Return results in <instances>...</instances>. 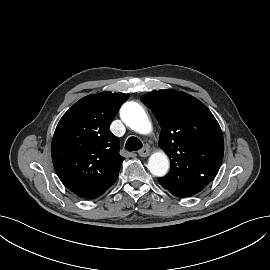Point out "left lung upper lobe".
I'll list each match as a JSON object with an SVG mask.
<instances>
[{
    "label": "left lung upper lobe",
    "mask_w": 270,
    "mask_h": 270,
    "mask_svg": "<svg viewBox=\"0 0 270 270\" xmlns=\"http://www.w3.org/2000/svg\"><path fill=\"white\" fill-rule=\"evenodd\" d=\"M162 131L159 146L171 159L169 173L158 181L167 189L203 188L218 173L223 160L221 128L210 110L180 91L160 90L141 97Z\"/></svg>",
    "instance_id": "obj_1"
}]
</instances>
